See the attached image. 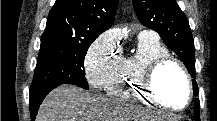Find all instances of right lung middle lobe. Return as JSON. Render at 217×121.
I'll use <instances>...</instances> for the list:
<instances>
[{"label": "right lung middle lobe", "instance_id": "obj_1", "mask_svg": "<svg viewBox=\"0 0 217 121\" xmlns=\"http://www.w3.org/2000/svg\"><path fill=\"white\" fill-rule=\"evenodd\" d=\"M94 40L43 34L30 94L56 83L74 84L88 90L84 58Z\"/></svg>", "mask_w": 217, "mask_h": 121}]
</instances>
